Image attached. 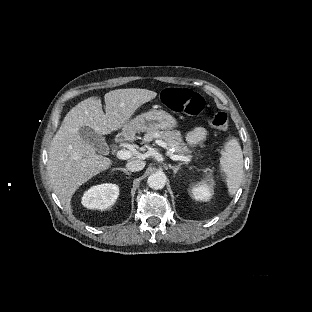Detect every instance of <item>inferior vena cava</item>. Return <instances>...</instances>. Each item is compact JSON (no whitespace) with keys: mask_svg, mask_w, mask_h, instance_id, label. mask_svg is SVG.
Returning <instances> with one entry per match:
<instances>
[{"mask_svg":"<svg viewBox=\"0 0 312 312\" xmlns=\"http://www.w3.org/2000/svg\"><path fill=\"white\" fill-rule=\"evenodd\" d=\"M126 167L129 171L136 172L140 171L145 167V162L141 160H133L126 164Z\"/></svg>","mask_w":312,"mask_h":312,"instance_id":"obj_1","label":"inferior vena cava"}]
</instances>
